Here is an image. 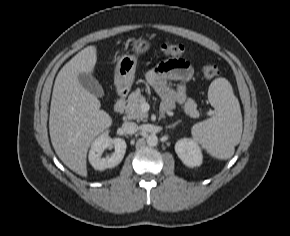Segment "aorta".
Returning <instances> with one entry per match:
<instances>
[{"mask_svg":"<svg viewBox=\"0 0 290 236\" xmlns=\"http://www.w3.org/2000/svg\"><path fill=\"white\" fill-rule=\"evenodd\" d=\"M146 142L149 146L154 147L158 144V137L155 134H151L146 138Z\"/></svg>","mask_w":290,"mask_h":236,"instance_id":"obj_1","label":"aorta"}]
</instances>
